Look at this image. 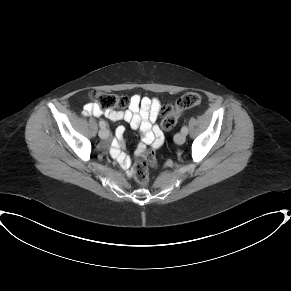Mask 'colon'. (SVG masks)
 I'll use <instances>...</instances> for the list:
<instances>
[{
	"mask_svg": "<svg viewBox=\"0 0 291 291\" xmlns=\"http://www.w3.org/2000/svg\"><path fill=\"white\" fill-rule=\"evenodd\" d=\"M92 102L98 106L101 111L124 106L127 98L112 92L93 91L90 95ZM201 102V96L195 92H189L182 95L175 104L165 105L160 109L162 115V128L164 130L172 129L182 111L194 107ZM161 140L155 141L151 148H142L138 151L133 172L137 183L140 186H147L149 183L148 165L155 163V149L160 146Z\"/></svg>",
	"mask_w": 291,
	"mask_h": 291,
	"instance_id": "5ec220e1",
	"label": "colon"
}]
</instances>
